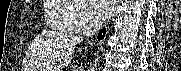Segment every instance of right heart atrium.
<instances>
[{"mask_svg":"<svg viewBox=\"0 0 181 71\" xmlns=\"http://www.w3.org/2000/svg\"><path fill=\"white\" fill-rule=\"evenodd\" d=\"M70 7L66 13V21L69 26V31L80 33L90 30L95 24L96 20L87 8L83 0H57Z\"/></svg>","mask_w":181,"mask_h":71,"instance_id":"d8ad5b80","label":"right heart atrium"}]
</instances>
